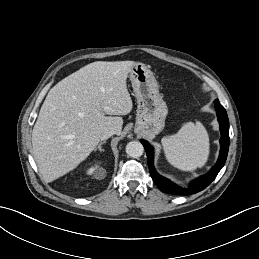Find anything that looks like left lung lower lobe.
Wrapping results in <instances>:
<instances>
[{
    "instance_id": "obj_1",
    "label": "left lung lower lobe",
    "mask_w": 259,
    "mask_h": 259,
    "mask_svg": "<svg viewBox=\"0 0 259 259\" xmlns=\"http://www.w3.org/2000/svg\"><path fill=\"white\" fill-rule=\"evenodd\" d=\"M215 109L217 112L218 121L220 124L221 138H220V154L216 165L205 175L192 181L188 188H181L170 180L160 176L154 169L153 165V149L144 140H141L145 151L147 153V162L150 170L152 179L158 188L165 193H170L174 195H191L198 193L205 189L217 176L221 168L224 166L227 159L228 149H229V120L224 107L219 103V100L214 101Z\"/></svg>"
}]
</instances>
